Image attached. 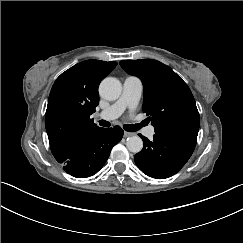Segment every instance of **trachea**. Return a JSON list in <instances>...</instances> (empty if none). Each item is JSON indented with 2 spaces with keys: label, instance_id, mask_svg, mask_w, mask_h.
Wrapping results in <instances>:
<instances>
[{
  "label": "trachea",
  "instance_id": "obj_1",
  "mask_svg": "<svg viewBox=\"0 0 243 243\" xmlns=\"http://www.w3.org/2000/svg\"><path fill=\"white\" fill-rule=\"evenodd\" d=\"M99 125L100 126H103V127H109L111 126V123L108 122V121H105V120H100L99 121ZM142 125H133V124H125L124 125V129L127 131V132H135L137 131Z\"/></svg>",
  "mask_w": 243,
  "mask_h": 243
}]
</instances>
